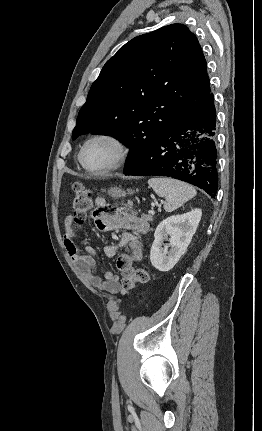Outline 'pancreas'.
<instances>
[{"instance_id": "obj_1", "label": "pancreas", "mask_w": 262, "mask_h": 431, "mask_svg": "<svg viewBox=\"0 0 262 431\" xmlns=\"http://www.w3.org/2000/svg\"><path fill=\"white\" fill-rule=\"evenodd\" d=\"M152 220V217L151 216H148L147 218H146V221H151Z\"/></svg>"}]
</instances>
